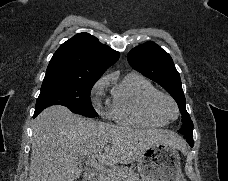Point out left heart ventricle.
I'll use <instances>...</instances> for the list:
<instances>
[{"mask_svg":"<svg viewBox=\"0 0 228 181\" xmlns=\"http://www.w3.org/2000/svg\"><path fill=\"white\" fill-rule=\"evenodd\" d=\"M158 106L164 110H166L167 112H171L170 111V105L166 100H160L158 103Z\"/></svg>","mask_w":228,"mask_h":181,"instance_id":"b2bd125f","label":"left heart ventricle"}]
</instances>
